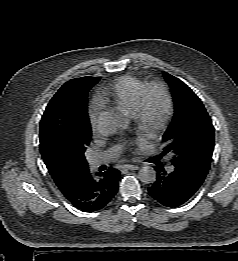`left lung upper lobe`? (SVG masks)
I'll return each instance as SVG.
<instances>
[{
  "mask_svg": "<svg viewBox=\"0 0 238 261\" xmlns=\"http://www.w3.org/2000/svg\"><path fill=\"white\" fill-rule=\"evenodd\" d=\"M175 103L174 117L163 135V155L174 154L172 164L207 175L214 149V127L198 96L182 81L164 72Z\"/></svg>",
  "mask_w": 238,
  "mask_h": 261,
  "instance_id": "obj_1",
  "label": "left lung upper lobe"
}]
</instances>
